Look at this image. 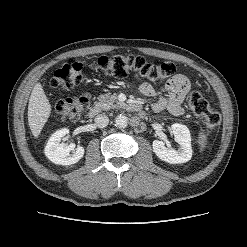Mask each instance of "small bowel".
<instances>
[{
	"label": "small bowel",
	"mask_w": 247,
	"mask_h": 247,
	"mask_svg": "<svg viewBox=\"0 0 247 247\" xmlns=\"http://www.w3.org/2000/svg\"><path fill=\"white\" fill-rule=\"evenodd\" d=\"M140 92L148 97L157 95L158 91L148 82L141 81ZM163 92L167 93L166 97L159 98L153 105L155 112L168 110L173 115L183 113L182 104L190 90L188 78L182 74H176L162 81Z\"/></svg>",
	"instance_id": "c3829d8e"
}]
</instances>
